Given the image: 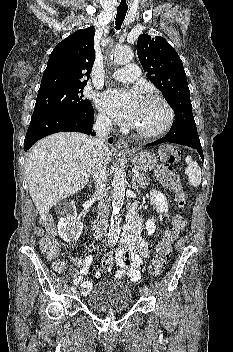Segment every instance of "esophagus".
Returning <instances> with one entry per match:
<instances>
[{
	"label": "esophagus",
	"mask_w": 233,
	"mask_h": 352,
	"mask_svg": "<svg viewBox=\"0 0 233 352\" xmlns=\"http://www.w3.org/2000/svg\"><path fill=\"white\" fill-rule=\"evenodd\" d=\"M116 147L118 149H127L128 148V144L126 141H124L123 139H119L117 142H116Z\"/></svg>",
	"instance_id": "esophagus-1"
}]
</instances>
